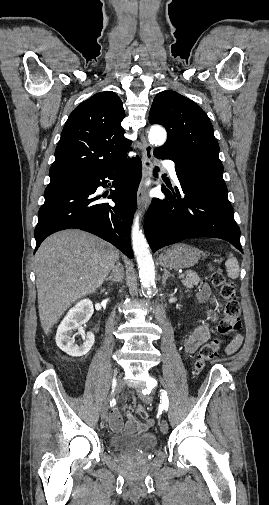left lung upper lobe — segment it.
Instances as JSON below:
<instances>
[{
  "instance_id": "obj_1",
  "label": "left lung upper lobe",
  "mask_w": 269,
  "mask_h": 505,
  "mask_svg": "<svg viewBox=\"0 0 269 505\" xmlns=\"http://www.w3.org/2000/svg\"><path fill=\"white\" fill-rule=\"evenodd\" d=\"M149 122L163 125L168 133L166 143L156 148L154 154L171 155L175 159L190 157L223 170L212 124L192 100L171 90L158 93Z\"/></svg>"
}]
</instances>
